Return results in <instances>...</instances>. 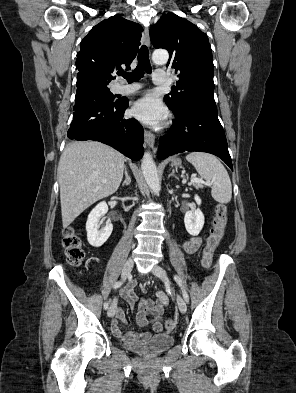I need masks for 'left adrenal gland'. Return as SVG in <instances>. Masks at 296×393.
<instances>
[{
	"label": "left adrenal gland",
	"mask_w": 296,
	"mask_h": 393,
	"mask_svg": "<svg viewBox=\"0 0 296 393\" xmlns=\"http://www.w3.org/2000/svg\"><path fill=\"white\" fill-rule=\"evenodd\" d=\"M171 176H173L176 179H178V177L175 175V171L174 170H172V172L168 175V178H170Z\"/></svg>",
	"instance_id": "left-adrenal-gland-1"
}]
</instances>
